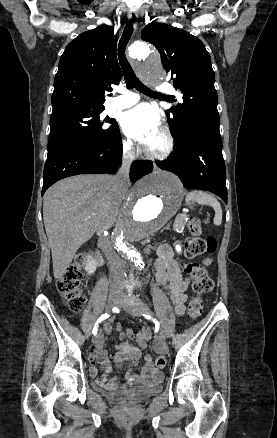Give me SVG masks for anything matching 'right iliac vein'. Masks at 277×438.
<instances>
[{
	"label": "right iliac vein",
	"mask_w": 277,
	"mask_h": 438,
	"mask_svg": "<svg viewBox=\"0 0 277 438\" xmlns=\"http://www.w3.org/2000/svg\"><path fill=\"white\" fill-rule=\"evenodd\" d=\"M118 302H119L118 296L110 295L108 297V301H107V305H106L107 311L110 310L111 308H113L114 306H116L118 304ZM100 339H101V335H100V333H98L93 337L92 342L96 344L100 341Z\"/></svg>",
	"instance_id": "obj_1"
}]
</instances>
